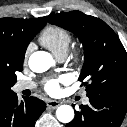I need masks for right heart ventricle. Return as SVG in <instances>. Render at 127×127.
Segmentation results:
<instances>
[{"instance_id": "e07e8e85", "label": "right heart ventricle", "mask_w": 127, "mask_h": 127, "mask_svg": "<svg viewBox=\"0 0 127 127\" xmlns=\"http://www.w3.org/2000/svg\"><path fill=\"white\" fill-rule=\"evenodd\" d=\"M39 41L58 58L60 56H66L72 41V36L67 29L50 25L41 32Z\"/></svg>"}]
</instances>
